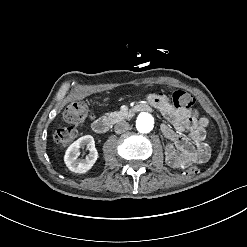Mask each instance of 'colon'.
<instances>
[{"mask_svg": "<svg viewBox=\"0 0 247 247\" xmlns=\"http://www.w3.org/2000/svg\"><path fill=\"white\" fill-rule=\"evenodd\" d=\"M196 102L194 96H190L184 89H179L172 94V105L175 108H192ZM63 117L66 122L83 125L88 122L90 114L86 104L82 101H74L66 105ZM75 138V130L71 126H61L54 133L57 146L65 147ZM198 169L195 166L185 168V173L195 174Z\"/></svg>", "mask_w": 247, "mask_h": 247, "instance_id": "colon-1", "label": "colon"}]
</instances>
